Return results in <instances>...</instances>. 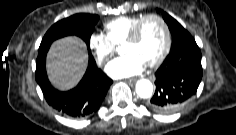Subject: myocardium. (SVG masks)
<instances>
[{"label": "myocardium", "instance_id": "1", "mask_svg": "<svg viewBox=\"0 0 236 135\" xmlns=\"http://www.w3.org/2000/svg\"><path fill=\"white\" fill-rule=\"evenodd\" d=\"M150 18H154L156 20H158L163 29H164V33H165V43H164V47L160 53V55L158 56V58L152 62L147 63V66L150 68L153 67H157L158 65H160L164 59L166 58V56L168 55L169 51H170V47H171V33H170V29L169 26L167 24V22L165 21V19L155 13H150V14H146L144 15L132 28L130 34L128 35V37L126 38V40L123 42V47L128 45V44H133L137 41L139 34H140V30L141 27L143 25V23Z\"/></svg>", "mask_w": 236, "mask_h": 135}]
</instances>
